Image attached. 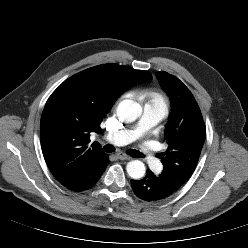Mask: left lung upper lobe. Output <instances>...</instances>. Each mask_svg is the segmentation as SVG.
Masks as SVG:
<instances>
[{"instance_id": "5c2ea615", "label": "left lung upper lobe", "mask_w": 248, "mask_h": 248, "mask_svg": "<svg viewBox=\"0 0 248 248\" xmlns=\"http://www.w3.org/2000/svg\"><path fill=\"white\" fill-rule=\"evenodd\" d=\"M162 87L171 99L172 113L165 128L168 149L162 159L159 178L174 192L194 172L206 138V128L199 106L189 89L175 76L156 72Z\"/></svg>"}]
</instances>
